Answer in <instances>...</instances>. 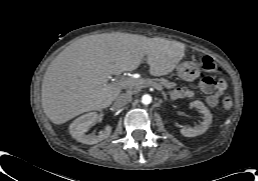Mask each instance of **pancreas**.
<instances>
[{
	"label": "pancreas",
	"mask_w": 258,
	"mask_h": 181,
	"mask_svg": "<svg viewBox=\"0 0 258 181\" xmlns=\"http://www.w3.org/2000/svg\"><path fill=\"white\" fill-rule=\"evenodd\" d=\"M136 81H143L144 84L143 86L146 87V86H158V87H165L167 89H172L176 86V84L174 82H170L169 80L167 79H164V78H161V79H138ZM132 89H138L137 87H130Z\"/></svg>",
	"instance_id": "obj_1"
}]
</instances>
